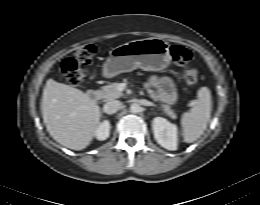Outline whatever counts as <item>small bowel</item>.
<instances>
[{
  "mask_svg": "<svg viewBox=\"0 0 260 205\" xmlns=\"http://www.w3.org/2000/svg\"><path fill=\"white\" fill-rule=\"evenodd\" d=\"M149 84L156 89L158 97L166 102L173 103L176 99V92L172 81L169 78L152 76Z\"/></svg>",
  "mask_w": 260,
  "mask_h": 205,
  "instance_id": "c3829d8e",
  "label": "small bowel"
}]
</instances>
